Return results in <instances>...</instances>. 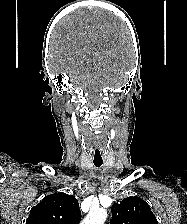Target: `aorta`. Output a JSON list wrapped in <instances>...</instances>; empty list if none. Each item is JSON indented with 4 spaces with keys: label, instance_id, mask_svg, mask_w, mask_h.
I'll use <instances>...</instances> for the list:
<instances>
[{
    "label": "aorta",
    "instance_id": "aorta-1",
    "mask_svg": "<svg viewBox=\"0 0 187 224\" xmlns=\"http://www.w3.org/2000/svg\"><path fill=\"white\" fill-rule=\"evenodd\" d=\"M107 216V211L103 208L92 209L81 224H104Z\"/></svg>",
    "mask_w": 187,
    "mask_h": 224
}]
</instances>
